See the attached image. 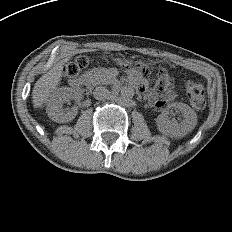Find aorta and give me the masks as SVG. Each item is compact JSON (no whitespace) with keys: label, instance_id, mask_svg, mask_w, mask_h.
Masks as SVG:
<instances>
[{"label":"aorta","instance_id":"obj_1","mask_svg":"<svg viewBox=\"0 0 232 232\" xmlns=\"http://www.w3.org/2000/svg\"><path fill=\"white\" fill-rule=\"evenodd\" d=\"M134 89L131 86H123L120 91V96L123 100H130L134 96Z\"/></svg>","mask_w":232,"mask_h":232}]
</instances>
